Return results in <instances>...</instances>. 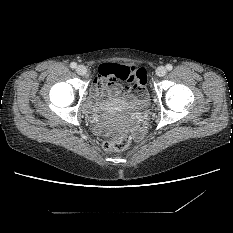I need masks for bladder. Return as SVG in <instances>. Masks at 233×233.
Listing matches in <instances>:
<instances>
[{
    "instance_id": "obj_1",
    "label": "bladder",
    "mask_w": 233,
    "mask_h": 233,
    "mask_svg": "<svg viewBox=\"0 0 233 233\" xmlns=\"http://www.w3.org/2000/svg\"><path fill=\"white\" fill-rule=\"evenodd\" d=\"M150 102V96L148 93H144L143 96L140 99V102L138 103L139 107H144ZM88 115L93 116L94 114L88 112Z\"/></svg>"
}]
</instances>
